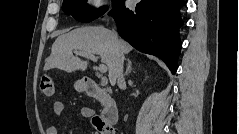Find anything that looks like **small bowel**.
Instances as JSON below:
<instances>
[{
	"instance_id": "1",
	"label": "small bowel",
	"mask_w": 239,
	"mask_h": 134,
	"mask_svg": "<svg viewBox=\"0 0 239 134\" xmlns=\"http://www.w3.org/2000/svg\"><path fill=\"white\" fill-rule=\"evenodd\" d=\"M65 109H66L65 104L61 101H57L53 105L54 114L58 117H60L64 113ZM81 115L84 118H92L94 116V110L88 106L83 107L81 109ZM46 134H59V123L48 127L46 129Z\"/></svg>"
}]
</instances>
